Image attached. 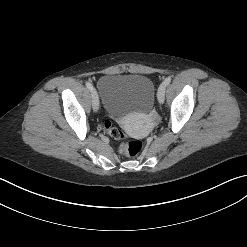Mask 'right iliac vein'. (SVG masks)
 I'll list each match as a JSON object with an SVG mask.
<instances>
[{"label": "right iliac vein", "mask_w": 247, "mask_h": 247, "mask_svg": "<svg viewBox=\"0 0 247 247\" xmlns=\"http://www.w3.org/2000/svg\"><path fill=\"white\" fill-rule=\"evenodd\" d=\"M92 106L95 112L99 108V97L95 89L92 90Z\"/></svg>", "instance_id": "63e3f726"}]
</instances>
